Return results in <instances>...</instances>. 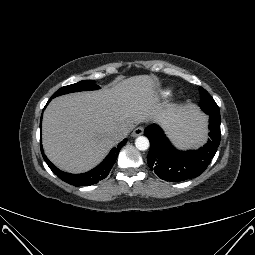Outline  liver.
<instances>
[{"label":"liver","mask_w":255,"mask_h":255,"mask_svg":"<svg viewBox=\"0 0 255 255\" xmlns=\"http://www.w3.org/2000/svg\"><path fill=\"white\" fill-rule=\"evenodd\" d=\"M153 77L138 75L99 91L51 101L42 123L47 157L61 170L81 173L97 165L118 143L113 133L152 120L175 138L185 136L202 116L194 105L160 103Z\"/></svg>","instance_id":"6515ba94"}]
</instances>
